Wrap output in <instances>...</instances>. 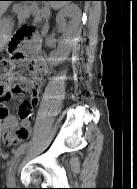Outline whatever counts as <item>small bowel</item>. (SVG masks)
Here are the masks:
<instances>
[{"mask_svg":"<svg viewBox=\"0 0 137 189\" xmlns=\"http://www.w3.org/2000/svg\"><path fill=\"white\" fill-rule=\"evenodd\" d=\"M49 67L45 59L33 62L31 71L33 79H28L21 72H14L8 82L0 84V135L7 146L21 144L26 140L31 131L33 112L26 115V112L19 108V120L12 115L7 107L14 97L24 92L30 94L27 101L32 106L39 102L42 79L40 75L48 73ZM22 105V104H21Z\"/></svg>","mask_w":137,"mask_h":189,"instance_id":"obj_1","label":"small bowel"}]
</instances>
